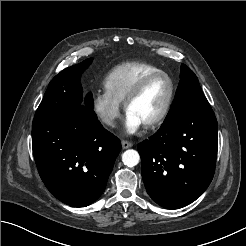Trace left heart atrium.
Here are the masks:
<instances>
[{
	"label": "left heart atrium",
	"mask_w": 246,
	"mask_h": 246,
	"mask_svg": "<svg viewBox=\"0 0 246 246\" xmlns=\"http://www.w3.org/2000/svg\"><path fill=\"white\" fill-rule=\"evenodd\" d=\"M142 125H143L142 122L137 117L127 112L125 118V129L127 133L129 134L136 133Z\"/></svg>",
	"instance_id": "39dd6f15"
}]
</instances>
